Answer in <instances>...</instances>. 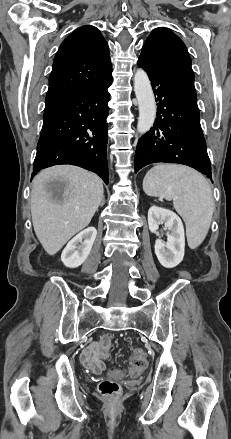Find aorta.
Returning <instances> with one entry per match:
<instances>
[{
    "label": "aorta",
    "mask_w": 231,
    "mask_h": 439,
    "mask_svg": "<svg viewBox=\"0 0 231 439\" xmlns=\"http://www.w3.org/2000/svg\"><path fill=\"white\" fill-rule=\"evenodd\" d=\"M134 91L139 106L137 131L145 134L155 121L156 103L149 78L143 69H138L134 75Z\"/></svg>",
    "instance_id": "obj_1"
}]
</instances>
